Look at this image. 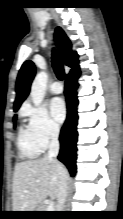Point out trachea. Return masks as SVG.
Listing matches in <instances>:
<instances>
[{"instance_id": "trachea-1", "label": "trachea", "mask_w": 123, "mask_h": 219, "mask_svg": "<svg viewBox=\"0 0 123 219\" xmlns=\"http://www.w3.org/2000/svg\"><path fill=\"white\" fill-rule=\"evenodd\" d=\"M52 64L54 72L59 80H63L65 73L63 63L60 59V56L54 51L52 56Z\"/></svg>"}]
</instances>
